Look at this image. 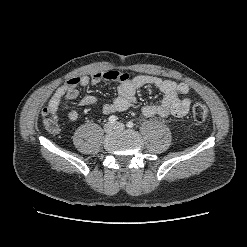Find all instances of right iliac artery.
<instances>
[{
    "label": "right iliac artery",
    "instance_id": "right-iliac-artery-1",
    "mask_svg": "<svg viewBox=\"0 0 247 247\" xmlns=\"http://www.w3.org/2000/svg\"><path fill=\"white\" fill-rule=\"evenodd\" d=\"M117 117L116 116H114V115H112V116H110L109 118H108V120H109V122L110 123H115L116 121H117Z\"/></svg>",
    "mask_w": 247,
    "mask_h": 247
}]
</instances>
